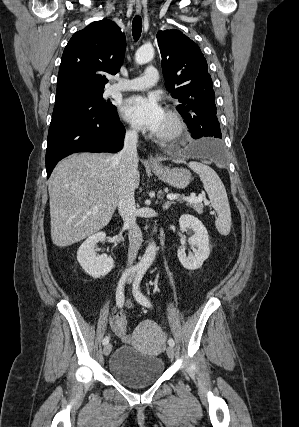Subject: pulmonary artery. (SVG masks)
<instances>
[{
    "label": "pulmonary artery",
    "mask_w": 299,
    "mask_h": 427,
    "mask_svg": "<svg viewBox=\"0 0 299 427\" xmlns=\"http://www.w3.org/2000/svg\"><path fill=\"white\" fill-rule=\"evenodd\" d=\"M158 81V71L154 66H148L141 76L124 80L119 79L113 86V91L144 90L152 87Z\"/></svg>",
    "instance_id": "1"
}]
</instances>
